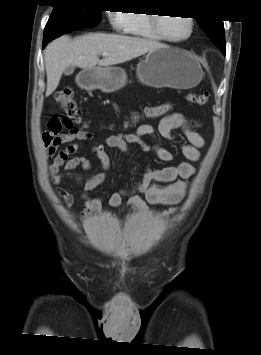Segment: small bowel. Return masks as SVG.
<instances>
[{
    "mask_svg": "<svg viewBox=\"0 0 261 355\" xmlns=\"http://www.w3.org/2000/svg\"><path fill=\"white\" fill-rule=\"evenodd\" d=\"M65 125L64 122L61 123ZM66 126V125H65ZM61 130V129H60ZM53 131L51 128L43 132L42 144L46 158L52 160L49 167L51 182L55 192L60 197L66 208L73 202V195L60 184L66 181L74 182L81 186L80 196L84 200V208L80 218L84 219L91 215L103 214V197H91L90 192L99 187L111 169V160L105 147L119 150L131 160V145L139 148L145 155L154 154L161 161H172L174 155L168 149L157 142L147 143L145 136H154L156 130L151 125H141L135 133L115 134L105 138L103 143H94L87 146V142L93 139L92 133L81 129H70L66 133ZM157 131L166 139L177 143L181 154L190 162L200 159V151L204 140L195 127L186 120L179 112L165 116L159 123ZM180 132L184 141H177L175 133ZM65 145V148L60 149ZM88 148L99 160L100 170L98 173L84 180L80 174L74 172L77 168L90 171L92 162L80 156H73L79 150ZM190 162H183L176 166L153 168L145 166L141 170V182L135 186L113 192L108 197L111 208L118 207L124 197H128V205L144 214H150L151 205L168 206L167 209L157 213L159 217H169L177 212L176 205L186 196L188 181L195 172ZM63 169V172H60ZM154 182L166 183L164 186L154 185Z\"/></svg>",
    "mask_w": 261,
    "mask_h": 355,
    "instance_id": "obj_1",
    "label": "small bowel"
}]
</instances>
